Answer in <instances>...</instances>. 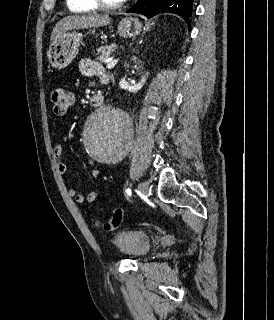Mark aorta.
Returning <instances> with one entry per match:
<instances>
[{"instance_id": "1", "label": "aorta", "mask_w": 274, "mask_h": 320, "mask_svg": "<svg viewBox=\"0 0 274 320\" xmlns=\"http://www.w3.org/2000/svg\"><path fill=\"white\" fill-rule=\"evenodd\" d=\"M132 136V122L116 102L90 115L83 130V144L91 158L109 163L119 161L127 154Z\"/></svg>"}]
</instances>
